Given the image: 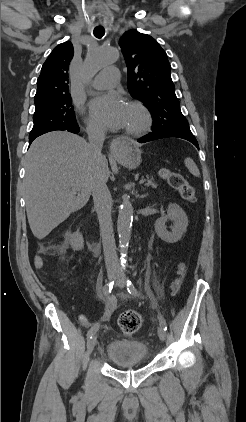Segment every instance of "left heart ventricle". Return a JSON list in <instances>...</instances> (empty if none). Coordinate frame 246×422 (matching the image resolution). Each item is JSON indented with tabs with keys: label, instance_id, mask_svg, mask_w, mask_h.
<instances>
[{
	"label": "left heart ventricle",
	"instance_id": "left-heart-ventricle-1",
	"mask_svg": "<svg viewBox=\"0 0 246 422\" xmlns=\"http://www.w3.org/2000/svg\"><path fill=\"white\" fill-rule=\"evenodd\" d=\"M141 123V116L136 109L128 106L124 128H134Z\"/></svg>",
	"mask_w": 246,
	"mask_h": 422
}]
</instances>
